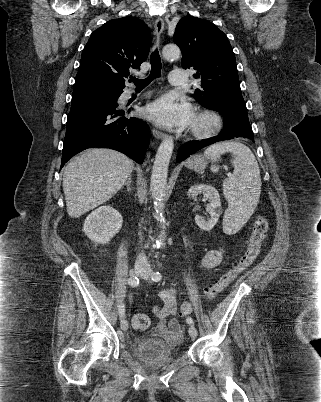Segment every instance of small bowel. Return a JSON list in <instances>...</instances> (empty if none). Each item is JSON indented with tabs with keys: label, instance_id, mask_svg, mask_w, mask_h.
Wrapping results in <instances>:
<instances>
[{
	"label": "small bowel",
	"instance_id": "obj_1",
	"mask_svg": "<svg viewBox=\"0 0 321 402\" xmlns=\"http://www.w3.org/2000/svg\"><path fill=\"white\" fill-rule=\"evenodd\" d=\"M223 259V250L215 248L205 253L201 258L200 264L203 268L211 269L217 267ZM162 302L160 307H154L152 312L157 318L158 323L154 327L155 336L166 340L169 344H176L182 339V331L179 322L171 318L178 313L176 292L168 288L159 292Z\"/></svg>",
	"mask_w": 321,
	"mask_h": 402
}]
</instances>
